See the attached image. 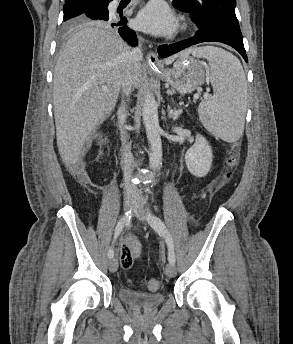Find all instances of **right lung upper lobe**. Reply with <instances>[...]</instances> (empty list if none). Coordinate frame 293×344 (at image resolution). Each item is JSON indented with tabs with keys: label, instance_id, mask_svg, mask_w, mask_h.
I'll use <instances>...</instances> for the list:
<instances>
[{
	"label": "right lung upper lobe",
	"instance_id": "1",
	"mask_svg": "<svg viewBox=\"0 0 293 344\" xmlns=\"http://www.w3.org/2000/svg\"><path fill=\"white\" fill-rule=\"evenodd\" d=\"M83 1H88V0H66V4L65 5L74 4V3L83 2ZM75 27H77V26H74L72 28H75Z\"/></svg>",
	"mask_w": 293,
	"mask_h": 344
}]
</instances>
